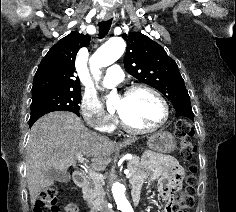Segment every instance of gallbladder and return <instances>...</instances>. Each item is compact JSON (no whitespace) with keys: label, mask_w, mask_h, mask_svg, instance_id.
I'll list each match as a JSON object with an SVG mask.
<instances>
[{"label":"gallbladder","mask_w":236,"mask_h":212,"mask_svg":"<svg viewBox=\"0 0 236 212\" xmlns=\"http://www.w3.org/2000/svg\"><path fill=\"white\" fill-rule=\"evenodd\" d=\"M47 178L53 181H59L67 183L70 180V174L68 172H61L53 168L46 172Z\"/></svg>","instance_id":"bac80fb5"}]
</instances>
